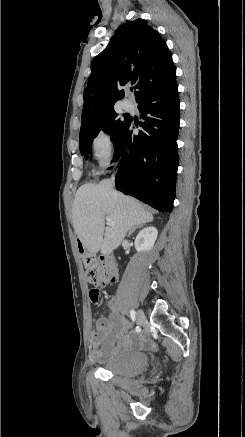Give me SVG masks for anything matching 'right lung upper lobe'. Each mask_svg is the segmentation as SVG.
<instances>
[{
    "mask_svg": "<svg viewBox=\"0 0 245 437\" xmlns=\"http://www.w3.org/2000/svg\"><path fill=\"white\" fill-rule=\"evenodd\" d=\"M128 83L137 84L136 100L177 84L166 41L144 19L121 25L107 47L92 60L84 90L82 126L114 108L124 97V90L118 87Z\"/></svg>",
    "mask_w": 245,
    "mask_h": 437,
    "instance_id": "obj_1",
    "label": "right lung upper lobe"
}]
</instances>
